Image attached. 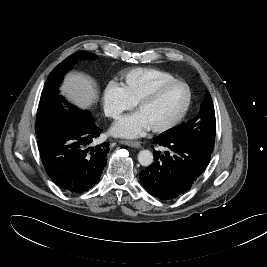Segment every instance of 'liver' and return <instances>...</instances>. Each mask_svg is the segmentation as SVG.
Listing matches in <instances>:
<instances>
[{"label":"liver","instance_id":"obj_1","mask_svg":"<svg viewBox=\"0 0 267 267\" xmlns=\"http://www.w3.org/2000/svg\"><path fill=\"white\" fill-rule=\"evenodd\" d=\"M61 90L68 100L84 109L90 107L98 98L93 81L81 73L68 75Z\"/></svg>","mask_w":267,"mask_h":267}]
</instances>
